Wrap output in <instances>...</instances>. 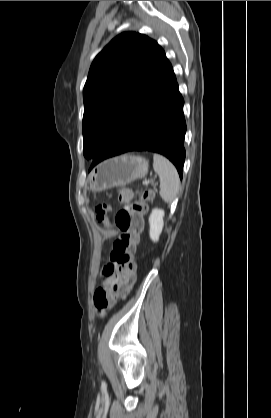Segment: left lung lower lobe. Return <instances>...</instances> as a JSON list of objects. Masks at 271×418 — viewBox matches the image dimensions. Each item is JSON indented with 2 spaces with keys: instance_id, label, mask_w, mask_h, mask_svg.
I'll list each match as a JSON object with an SVG mask.
<instances>
[{
  "instance_id": "1",
  "label": "left lung lower lobe",
  "mask_w": 271,
  "mask_h": 418,
  "mask_svg": "<svg viewBox=\"0 0 271 418\" xmlns=\"http://www.w3.org/2000/svg\"><path fill=\"white\" fill-rule=\"evenodd\" d=\"M183 105L168 62L93 159L90 169L107 158L129 151H151L170 159L182 178L186 132Z\"/></svg>"
}]
</instances>
